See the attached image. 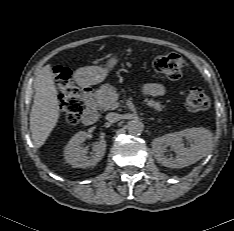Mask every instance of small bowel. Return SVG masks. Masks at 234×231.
I'll return each mask as SVG.
<instances>
[{
  "label": "small bowel",
  "instance_id": "c3829d8e",
  "mask_svg": "<svg viewBox=\"0 0 234 231\" xmlns=\"http://www.w3.org/2000/svg\"><path fill=\"white\" fill-rule=\"evenodd\" d=\"M144 92L147 95L154 96V97H159V96L164 95L165 87L162 84H159V83H152V84H148L144 88Z\"/></svg>",
  "mask_w": 234,
  "mask_h": 231
}]
</instances>
